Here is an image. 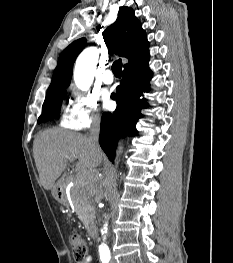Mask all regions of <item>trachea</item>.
<instances>
[{"label": "trachea", "mask_w": 233, "mask_h": 263, "mask_svg": "<svg viewBox=\"0 0 233 263\" xmlns=\"http://www.w3.org/2000/svg\"><path fill=\"white\" fill-rule=\"evenodd\" d=\"M112 72L116 77H121L122 72V61L116 60L112 65Z\"/></svg>", "instance_id": "trachea-1"}]
</instances>
